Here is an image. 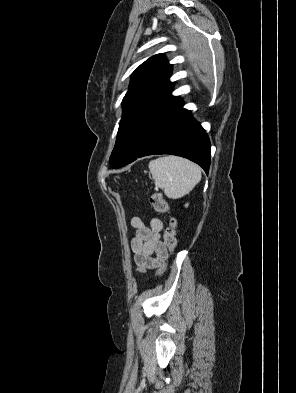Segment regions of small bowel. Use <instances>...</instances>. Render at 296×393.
<instances>
[{
    "instance_id": "c3829d8e",
    "label": "small bowel",
    "mask_w": 296,
    "mask_h": 393,
    "mask_svg": "<svg viewBox=\"0 0 296 393\" xmlns=\"http://www.w3.org/2000/svg\"><path fill=\"white\" fill-rule=\"evenodd\" d=\"M131 225L135 236L131 240L134 261L140 271H147L160 266L167 258V251L161 241L163 222L157 217L146 224L140 217H133Z\"/></svg>"
}]
</instances>
